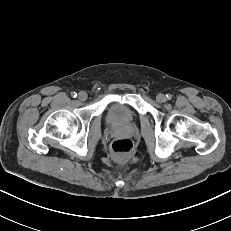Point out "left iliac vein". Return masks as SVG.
Segmentation results:
<instances>
[{"label":"left iliac vein","instance_id":"obj_1","mask_svg":"<svg viewBox=\"0 0 231 231\" xmlns=\"http://www.w3.org/2000/svg\"><path fill=\"white\" fill-rule=\"evenodd\" d=\"M156 100H157L158 103H163V102L166 101V97H165L164 94L159 93V94H157V96H156Z\"/></svg>","mask_w":231,"mask_h":231}]
</instances>
